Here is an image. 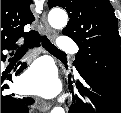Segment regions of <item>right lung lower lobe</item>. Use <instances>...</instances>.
<instances>
[{
	"label": "right lung lower lobe",
	"mask_w": 121,
	"mask_h": 113,
	"mask_svg": "<svg viewBox=\"0 0 121 113\" xmlns=\"http://www.w3.org/2000/svg\"><path fill=\"white\" fill-rule=\"evenodd\" d=\"M25 41L28 42L29 47L39 46V35L38 33L33 34L28 37ZM16 48V45H12L10 47H6L1 49V60H5L6 56L3 55L2 51L4 49ZM20 63H18L14 70H16V75L19 74L25 67L26 63L21 64V66L17 69ZM6 79L1 78V81ZM7 80L12 82L11 75L7 76ZM9 89L7 84L1 83V113H28L27 105L32 104L34 100L30 97H18L15 94L4 95L2 91Z\"/></svg>",
	"instance_id": "1"
}]
</instances>
